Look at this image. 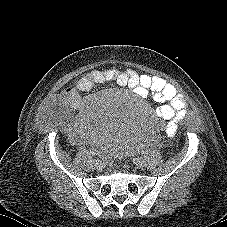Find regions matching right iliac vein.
<instances>
[{"mask_svg": "<svg viewBox=\"0 0 227 227\" xmlns=\"http://www.w3.org/2000/svg\"><path fill=\"white\" fill-rule=\"evenodd\" d=\"M102 166H103V163L100 159L95 160V167L96 168L100 169V168H102Z\"/></svg>", "mask_w": 227, "mask_h": 227, "instance_id": "obj_1", "label": "right iliac vein"}]
</instances>
